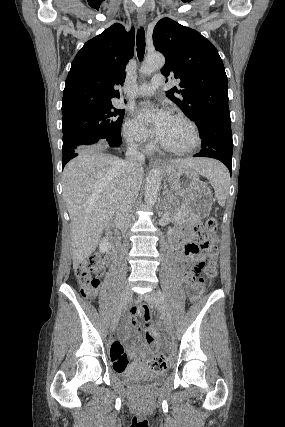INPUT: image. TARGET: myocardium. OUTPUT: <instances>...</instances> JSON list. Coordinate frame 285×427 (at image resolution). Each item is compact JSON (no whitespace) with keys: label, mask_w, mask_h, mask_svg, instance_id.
Returning <instances> with one entry per match:
<instances>
[{"label":"myocardium","mask_w":285,"mask_h":427,"mask_svg":"<svg viewBox=\"0 0 285 427\" xmlns=\"http://www.w3.org/2000/svg\"><path fill=\"white\" fill-rule=\"evenodd\" d=\"M171 117L185 122L191 128L193 133V143L186 148H176L164 143L163 141H160V145L164 150L175 154H188L193 152L201 144V135L197 124L192 119L181 113H174Z\"/></svg>","instance_id":"myocardium-1"}]
</instances>
